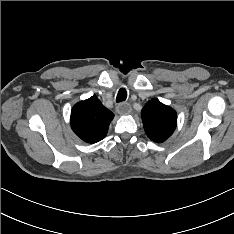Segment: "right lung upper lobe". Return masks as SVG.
<instances>
[{"label":"right lung upper lobe","instance_id":"1","mask_svg":"<svg viewBox=\"0 0 234 234\" xmlns=\"http://www.w3.org/2000/svg\"><path fill=\"white\" fill-rule=\"evenodd\" d=\"M113 118L114 114L96 96H92L74 105L70 122L79 138L87 143H96L106 137Z\"/></svg>","mask_w":234,"mask_h":234}]
</instances>
